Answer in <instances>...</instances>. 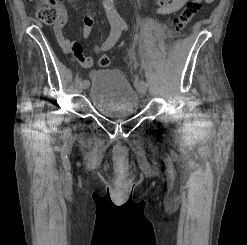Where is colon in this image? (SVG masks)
<instances>
[{"mask_svg":"<svg viewBox=\"0 0 247 245\" xmlns=\"http://www.w3.org/2000/svg\"><path fill=\"white\" fill-rule=\"evenodd\" d=\"M29 2H35L36 16L46 25H52L59 20V11L56 7L57 0H28ZM201 8V0H189L184 6L181 12L173 19L171 30L172 32L181 31L195 16V14ZM101 67H108L110 65V59L108 56H101L98 60Z\"/></svg>","mask_w":247,"mask_h":245,"instance_id":"colon-1","label":"colon"}]
</instances>
